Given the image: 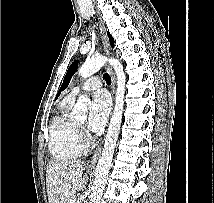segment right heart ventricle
<instances>
[{
  "instance_id": "obj_1",
  "label": "right heart ventricle",
  "mask_w": 214,
  "mask_h": 203,
  "mask_svg": "<svg viewBox=\"0 0 214 203\" xmlns=\"http://www.w3.org/2000/svg\"><path fill=\"white\" fill-rule=\"evenodd\" d=\"M74 99L66 96L60 112L54 117L49 128L48 147L52 157L65 162L78 157L82 152L78 126L70 120L67 112Z\"/></svg>"
}]
</instances>
